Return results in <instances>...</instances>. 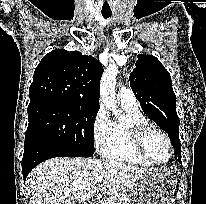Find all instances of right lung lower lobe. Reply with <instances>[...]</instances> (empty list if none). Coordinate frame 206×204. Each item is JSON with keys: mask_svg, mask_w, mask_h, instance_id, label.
I'll list each match as a JSON object with an SVG mask.
<instances>
[{"mask_svg": "<svg viewBox=\"0 0 206 204\" xmlns=\"http://www.w3.org/2000/svg\"><path fill=\"white\" fill-rule=\"evenodd\" d=\"M74 157L67 150L49 144H38L24 149L22 159L23 179L26 180L29 172L39 163L54 157Z\"/></svg>", "mask_w": 206, "mask_h": 204, "instance_id": "obj_1", "label": "right lung lower lobe"}]
</instances>
